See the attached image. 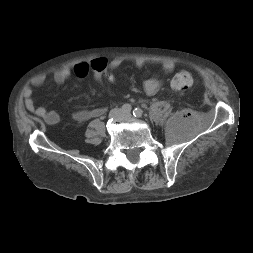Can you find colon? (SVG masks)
Wrapping results in <instances>:
<instances>
[{"mask_svg": "<svg viewBox=\"0 0 253 253\" xmlns=\"http://www.w3.org/2000/svg\"><path fill=\"white\" fill-rule=\"evenodd\" d=\"M90 69L95 79L100 83H114L116 80L114 73L108 69L107 59L103 57L93 59L90 62ZM171 85L174 89L186 90L194 85V78L188 72H180L173 77Z\"/></svg>", "mask_w": 253, "mask_h": 253, "instance_id": "1", "label": "colon"}]
</instances>
